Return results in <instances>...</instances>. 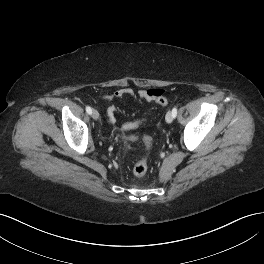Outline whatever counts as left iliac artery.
I'll return each instance as SVG.
<instances>
[{
  "label": "left iliac artery",
  "instance_id": "obj_1",
  "mask_svg": "<svg viewBox=\"0 0 264 264\" xmlns=\"http://www.w3.org/2000/svg\"><path fill=\"white\" fill-rule=\"evenodd\" d=\"M172 115H173L174 118L177 116V108L176 107H174L172 109Z\"/></svg>",
  "mask_w": 264,
  "mask_h": 264
}]
</instances>
